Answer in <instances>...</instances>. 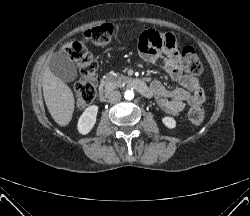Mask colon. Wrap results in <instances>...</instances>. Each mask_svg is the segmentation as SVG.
I'll return each mask as SVG.
<instances>
[{
    "label": "colon",
    "mask_w": 250,
    "mask_h": 216,
    "mask_svg": "<svg viewBox=\"0 0 250 216\" xmlns=\"http://www.w3.org/2000/svg\"><path fill=\"white\" fill-rule=\"evenodd\" d=\"M118 38V30L110 24L92 28L84 33V39L98 47H105ZM63 51L79 66L81 79L75 88V99L77 106L83 109L96 97L97 61L85 45L78 41L65 44ZM179 64L182 70L191 76H196L202 72V64L191 47H185L182 50L179 56ZM204 117L205 111L202 103L193 105L188 112V119L193 125L201 124Z\"/></svg>",
    "instance_id": "colon-1"
}]
</instances>
